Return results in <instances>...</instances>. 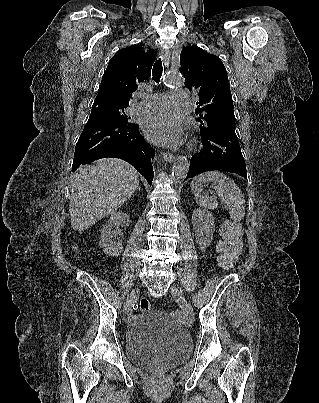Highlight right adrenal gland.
<instances>
[{"label": "right adrenal gland", "mask_w": 319, "mask_h": 403, "mask_svg": "<svg viewBox=\"0 0 319 403\" xmlns=\"http://www.w3.org/2000/svg\"><path fill=\"white\" fill-rule=\"evenodd\" d=\"M138 190H141V188H140V187H138Z\"/></svg>", "instance_id": "2a0ac1e0"}]
</instances>
